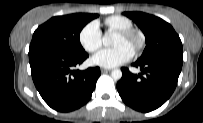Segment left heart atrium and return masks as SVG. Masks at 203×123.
<instances>
[{
	"mask_svg": "<svg viewBox=\"0 0 203 123\" xmlns=\"http://www.w3.org/2000/svg\"><path fill=\"white\" fill-rule=\"evenodd\" d=\"M133 54L130 48L118 45L99 51L93 56L92 61L98 66L113 68L128 62L133 57Z\"/></svg>",
	"mask_w": 203,
	"mask_h": 123,
	"instance_id": "1",
	"label": "left heart atrium"
}]
</instances>
